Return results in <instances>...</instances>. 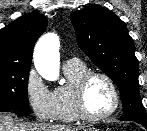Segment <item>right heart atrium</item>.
<instances>
[{
    "instance_id": "right-heart-atrium-1",
    "label": "right heart atrium",
    "mask_w": 147,
    "mask_h": 131,
    "mask_svg": "<svg viewBox=\"0 0 147 131\" xmlns=\"http://www.w3.org/2000/svg\"><path fill=\"white\" fill-rule=\"evenodd\" d=\"M25 94L35 117L41 121H51L56 116L53 91L44 83L35 69H30L25 79Z\"/></svg>"
}]
</instances>
